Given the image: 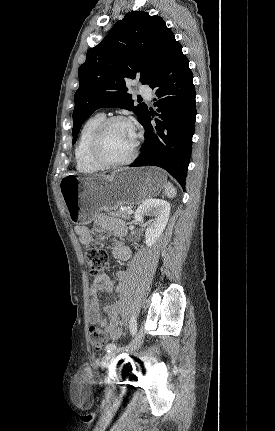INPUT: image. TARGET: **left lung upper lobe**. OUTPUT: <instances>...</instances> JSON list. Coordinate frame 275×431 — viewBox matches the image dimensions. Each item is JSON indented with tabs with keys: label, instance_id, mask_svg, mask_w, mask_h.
<instances>
[{
	"label": "left lung upper lobe",
	"instance_id": "1",
	"mask_svg": "<svg viewBox=\"0 0 275 431\" xmlns=\"http://www.w3.org/2000/svg\"><path fill=\"white\" fill-rule=\"evenodd\" d=\"M178 45L159 16L136 11L118 21L97 46L88 50L85 63L79 67L72 143L83 122L100 107L133 111L142 123L147 106L134 104L125 81L140 78L142 84L151 86Z\"/></svg>",
	"mask_w": 275,
	"mask_h": 431
}]
</instances>
